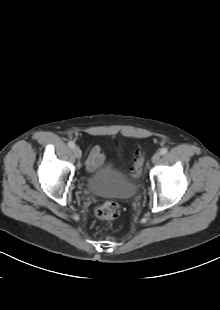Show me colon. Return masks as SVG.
Returning a JSON list of instances; mask_svg holds the SVG:
<instances>
[{
  "instance_id": "5ec220e1",
  "label": "colon",
  "mask_w": 220,
  "mask_h": 310,
  "mask_svg": "<svg viewBox=\"0 0 220 310\" xmlns=\"http://www.w3.org/2000/svg\"><path fill=\"white\" fill-rule=\"evenodd\" d=\"M144 163V154L141 151H138L134 157V163L132 168V176L138 178L143 169ZM120 214V206L114 201H107L100 205L96 211L95 215L98 219L101 220H113L116 219Z\"/></svg>"
}]
</instances>
